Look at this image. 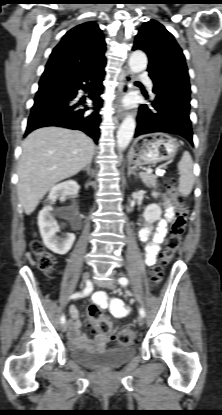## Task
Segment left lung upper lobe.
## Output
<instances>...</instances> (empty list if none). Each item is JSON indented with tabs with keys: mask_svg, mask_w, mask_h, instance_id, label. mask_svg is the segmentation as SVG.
<instances>
[{
	"mask_svg": "<svg viewBox=\"0 0 222 415\" xmlns=\"http://www.w3.org/2000/svg\"><path fill=\"white\" fill-rule=\"evenodd\" d=\"M143 50L149 58L148 71L176 68L188 71L182 49L173 35L155 20L145 22L135 38L133 50Z\"/></svg>",
	"mask_w": 222,
	"mask_h": 415,
	"instance_id": "1",
	"label": "left lung upper lobe"
}]
</instances>
